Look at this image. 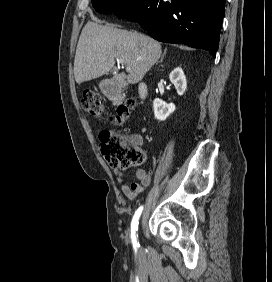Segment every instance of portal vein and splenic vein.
Listing matches in <instances>:
<instances>
[{"label": "portal vein and splenic vein", "instance_id": "obj_1", "mask_svg": "<svg viewBox=\"0 0 272 282\" xmlns=\"http://www.w3.org/2000/svg\"><path fill=\"white\" fill-rule=\"evenodd\" d=\"M120 63H122V64H124V62L122 61V60H118ZM126 70H130V67L129 66H127L126 67Z\"/></svg>", "mask_w": 272, "mask_h": 282}]
</instances>
